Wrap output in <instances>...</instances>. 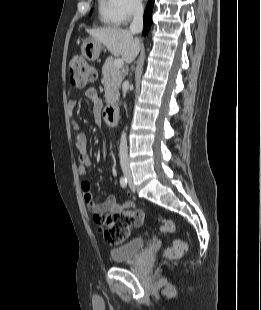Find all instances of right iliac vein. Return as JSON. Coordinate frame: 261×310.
Returning a JSON list of instances; mask_svg holds the SVG:
<instances>
[{
	"label": "right iliac vein",
	"instance_id": "1",
	"mask_svg": "<svg viewBox=\"0 0 261 310\" xmlns=\"http://www.w3.org/2000/svg\"><path fill=\"white\" fill-rule=\"evenodd\" d=\"M124 173L127 177L130 175V171L128 169H124Z\"/></svg>",
	"mask_w": 261,
	"mask_h": 310
}]
</instances>
